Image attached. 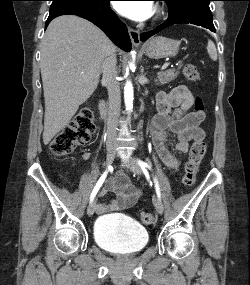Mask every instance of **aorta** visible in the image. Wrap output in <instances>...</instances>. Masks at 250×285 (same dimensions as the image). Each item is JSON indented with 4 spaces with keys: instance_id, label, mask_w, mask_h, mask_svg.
<instances>
[{
    "instance_id": "1",
    "label": "aorta",
    "mask_w": 250,
    "mask_h": 285,
    "mask_svg": "<svg viewBox=\"0 0 250 285\" xmlns=\"http://www.w3.org/2000/svg\"><path fill=\"white\" fill-rule=\"evenodd\" d=\"M124 99L126 110L130 112L133 108V85L129 80H127L124 87Z\"/></svg>"
}]
</instances>
